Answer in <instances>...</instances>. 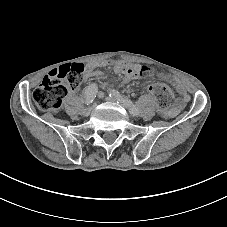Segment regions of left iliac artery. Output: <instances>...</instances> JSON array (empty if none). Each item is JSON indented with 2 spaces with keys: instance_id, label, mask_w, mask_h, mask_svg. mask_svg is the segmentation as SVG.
Wrapping results in <instances>:
<instances>
[{
  "instance_id": "1",
  "label": "left iliac artery",
  "mask_w": 227,
  "mask_h": 227,
  "mask_svg": "<svg viewBox=\"0 0 227 227\" xmlns=\"http://www.w3.org/2000/svg\"><path fill=\"white\" fill-rule=\"evenodd\" d=\"M109 96L115 97L118 101L123 103L125 107L129 109L131 114L137 115L139 113L138 107L135 104H133L131 100L121 96L118 91L110 90Z\"/></svg>"
}]
</instances>
